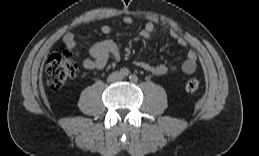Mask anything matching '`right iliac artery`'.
Wrapping results in <instances>:
<instances>
[{
    "mask_svg": "<svg viewBox=\"0 0 259 156\" xmlns=\"http://www.w3.org/2000/svg\"><path fill=\"white\" fill-rule=\"evenodd\" d=\"M119 73L121 76L126 77L129 75V70L127 68H121Z\"/></svg>",
    "mask_w": 259,
    "mask_h": 156,
    "instance_id": "obj_1",
    "label": "right iliac artery"
}]
</instances>
